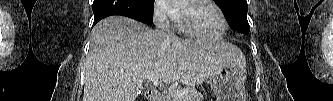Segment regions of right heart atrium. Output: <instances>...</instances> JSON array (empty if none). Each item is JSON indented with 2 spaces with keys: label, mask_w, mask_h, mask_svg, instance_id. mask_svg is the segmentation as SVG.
<instances>
[{
  "label": "right heart atrium",
  "mask_w": 333,
  "mask_h": 101,
  "mask_svg": "<svg viewBox=\"0 0 333 101\" xmlns=\"http://www.w3.org/2000/svg\"><path fill=\"white\" fill-rule=\"evenodd\" d=\"M152 14L158 26L167 27L176 19L177 8L170 0H155Z\"/></svg>",
  "instance_id": "right-heart-atrium-1"
}]
</instances>
